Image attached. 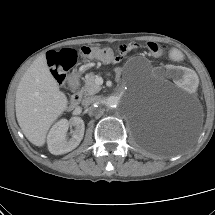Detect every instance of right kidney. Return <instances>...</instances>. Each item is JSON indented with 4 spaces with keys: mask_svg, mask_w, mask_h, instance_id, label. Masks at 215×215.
Instances as JSON below:
<instances>
[{
    "mask_svg": "<svg viewBox=\"0 0 215 215\" xmlns=\"http://www.w3.org/2000/svg\"><path fill=\"white\" fill-rule=\"evenodd\" d=\"M75 126L71 138L67 139L66 134L69 125ZM85 125L81 118L74 117L71 121L61 119L55 123L47 136V144L50 153L54 155L65 154L75 149L84 136Z\"/></svg>",
    "mask_w": 215,
    "mask_h": 215,
    "instance_id": "ca27d5eb",
    "label": "right kidney"
}]
</instances>
